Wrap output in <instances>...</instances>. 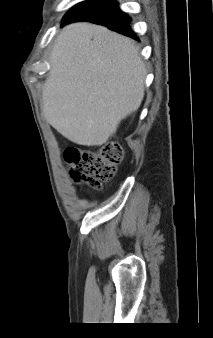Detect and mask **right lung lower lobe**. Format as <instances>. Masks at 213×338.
I'll use <instances>...</instances> for the list:
<instances>
[{
    "mask_svg": "<svg viewBox=\"0 0 213 338\" xmlns=\"http://www.w3.org/2000/svg\"><path fill=\"white\" fill-rule=\"evenodd\" d=\"M77 21H89L138 40L131 30L129 16L122 12L115 0H95L73 12L63 21L61 26Z\"/></svg>",
    "mask_w": 213,
    "mask_h": 338,
    "instance_id": "right-lung-lower-lobe-1",
    "label": "right lung lower lobe"
}]
</instances>
